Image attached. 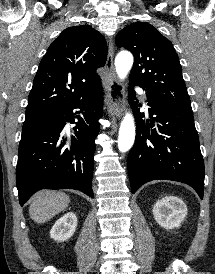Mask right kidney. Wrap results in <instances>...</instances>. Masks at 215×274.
Segmentation results:
<instances>
[{"label":"right kidney","instance_id":"obj_1","mask_svg":"<svg viewBox=\"0 0 215 274\" xmlns=\"http://www.w3.org/2000/svg\"><path fill=\"white\" fill-rule=\"evenodd\" d=\"M77 227V217L74 213L68 212L58 219L50 231V237L57 241L68 240Z\"/></svg>","mask_w":215,"mask_h":274}]
</instances>
